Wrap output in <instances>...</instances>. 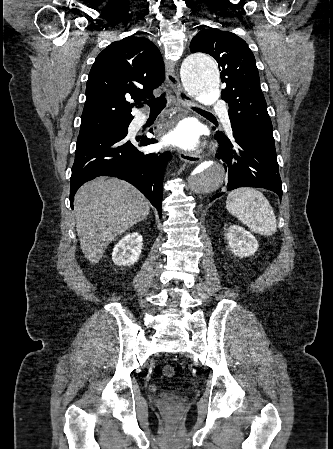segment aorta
I'll list each match as a JSON object with an SVG mask.
<instances>
[{
  "label": "aorta",
  "mask_w": 333,
  "mask_h": 449,
  "mask_svg": "<svg viewBox=\"0 0 333 449\" xmlns=\"http://www.w3.org/2000/svg\"><path fill=\"white\" fill-rule=\"evenodd\" d=\"M181 80L192 96L209 102L219 97V70L214 59L205 53H193L184 59ZM225 179L226 170L221 161H205L188 174L186 188L193 194H210L218 191Z\"/></svg>",
  "instance_id": "1"
}]
</instances>
